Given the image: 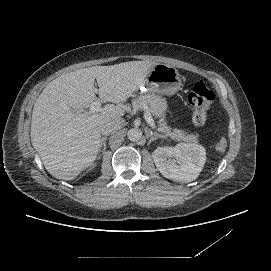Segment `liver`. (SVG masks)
<instances>
[{"mask_svg":"<svg viewBox=\"0 0 271 271\" xmlns=\"http://www.w3.org/2000/svg\"><path fill=\"white\" fill-rule=\"evenodd\" d=\"M155 65L130 61L92 66L63 74L45 86L33 107L30 137L53 177L74 179L79 168L91 165L97 157L100 126L111 121L123 124L124 110L119 105L106 104L95 113L87 110L97 100L96 93L103 101L125 102Z\"/></svg>","mask_w":271,"mask_h":271,"instance_id":"liver-1","label":"liver"}]
</instances>
